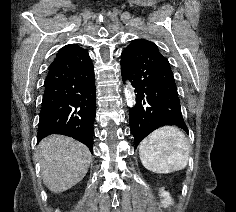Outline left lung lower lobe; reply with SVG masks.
Here are the masks:
<instances>
[{"instance_id": "obj_1", "label": "left lung lower lobe", "mask_w": 236, "mask_h": 212, "mask_svg": "<svg viewBox=\"0 0 236 212\" xmlns=\"http://www.w3.org/2000/svg\"><path fill=\"white\" fill-rule=\"evenodd\" d=\"M121 72L135 88L136 105L129 110L135 147L155 129L176 125L188 133L170 63L151 41L135 39L121 54Z\"/></svg>"}]
</instances>
